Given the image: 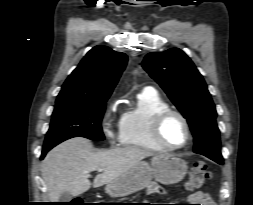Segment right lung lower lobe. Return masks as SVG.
Here are the masks:
<instances>
[{"mask_svg":"<svg viewBox=\"0 0 253 205\" xmlns=\"http://www.w3.org/2000/svg\"><path fill=\"white\" fill-rule=\"evenodd\" d=\"M51 148H52V147L43 148L40 159H43V158L45 157L46 153H47Z\"/></svg>","mask_w":253,"mask_h":205,"instance_id":"obj_1","label":"right lung lower lobe"}]
</instances>
